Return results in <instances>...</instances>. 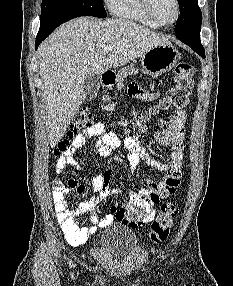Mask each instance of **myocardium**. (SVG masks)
<instances>
[{
    "label": "myocardium",
    "mask_w": 233,
    "mask_h": 286,
    "mask_svg": "<svg viewBox=\"0 0 233 286\" xmlns=\"http://www.w3.org/2000/svg\"><path fill=\"white\" fill-rule=\"evenodd\" d=\"M143 2V7L145 10V13L147 14V16L150 18V20L157 26V27H168L173 25L180 16L181 13V7H180V3L179 0H174L175 6H176V14L175 17L173 18L172 21H170L169 23H160L158 22L152 12V0H142Z\"/></svg>",
    "instance_id": "f54148a6"
}]
</instances>
